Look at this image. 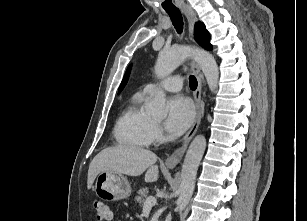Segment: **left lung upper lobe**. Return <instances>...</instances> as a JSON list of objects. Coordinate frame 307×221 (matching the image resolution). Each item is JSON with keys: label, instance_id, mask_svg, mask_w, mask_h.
<instances>
[{"label": "left lung upper lobe", "instance_id": "obj_1", "mask_svg": "<svg viewBox=\"0 0 307 221\" xmlns=\"http://www.w3.org/2000/svg\"><path fill=\"white\" fill-rule=\"evenodd\" d=\"M194 34H195L196 41L202 47H204L207 50H211L212 49V45L209 42V40H210L209 33L206 30L205 25L203 23H196ZM130 69H131V67L129 66L127 71H126V73H125V75H124L122 83L120 84L119 92L125 87V85H126V83L128 81L129 74H130Z\"/></svg>", "mask_w": 307, "mask_h": 221}]
</instances>
